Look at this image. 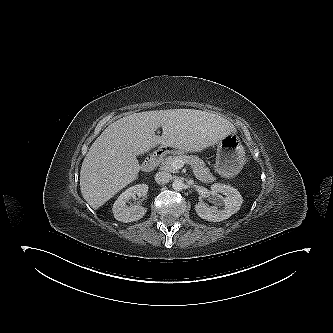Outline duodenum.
<instances>
[{
  "mask_svg": "<svg viewBox=\"0 0 333 333\" xmlns=\"http://www.w3.org/2000/svg\"><path fill=\"white\" fill-rule=\"evenodd\" d=\"M165 150L161 149L149 156L143 163L145 171L153 170L162 160Z\"/></svg>",
  "mask_w": 333,
  "mask_h": 333,
  "instance_id": "410a0bca",
  "label": "duodenum"
}]
</instances>
